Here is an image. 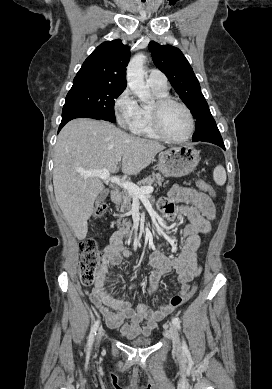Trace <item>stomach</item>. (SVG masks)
Returning <instances> with one entry per match:
<instances>
[{
	"label": "stomach",
	"instance_id": "obj_1",
	"mask_svg": "<svg viewBox=\"0 0 272 389\" xmlns=\"http://www.w3.org/2000/svg\"><path fill=\"white\" fill-rule=\"evenodd\" d=\"M199 161V152L193 147H172L159 154L157 168L166 177H183L190 174Z\"/></svg>",
	"mask_w": 272,
	"mask_h": 389
}]
</instances>
